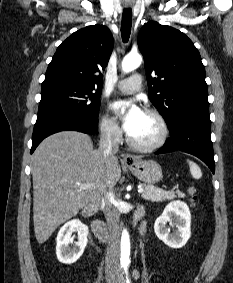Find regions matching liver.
<instances>
[{
	"label": "liver",
	"mask_w": 233,
	"mask_h": 283,
	"mask_svg": "<svg viewBox=\"0 0 233 283\" xmlns=\"http://www.w3.org/2000/svg\"><path fill=\"white\" fill-rule=\"evenodd\" d=\"M33 221L38 243L78 212L101 190L113 188L121 176L118 158H105L91 138L62 131L44 139L32 156ZM78 184H92L81 189Z\"/></svg>",
	"instance_id": "6515ba94"
}]
</instances>
